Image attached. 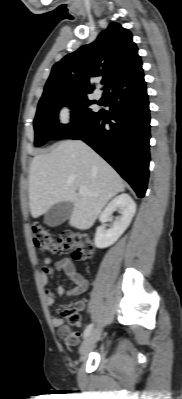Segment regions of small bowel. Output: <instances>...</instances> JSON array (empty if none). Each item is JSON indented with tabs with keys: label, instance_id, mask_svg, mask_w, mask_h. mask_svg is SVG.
<instances>
[{
	"label": "small bowel",
	"instance_id": "1",
	"mask_svg": "<svg viewBox=\"0 0 182 399\" xmlns=\"http://www.w3.org/2000/svg\"><path fill=\"white\" fill-rule=\"evenodd\" d=\"M55 272H62L65 277L73 284V287L66 289L63 286H57L55 292L46 289L45 300L48 306H53L56 303L57 297L80 295L87 291L88 281L79 272H77L74 263L71 259L65 257L56 262L50 257H45L43 260V267L40 270L42 283L48 286L50 279L54 276ZM79 308H83V302H78ZM52 324L59 328L60 337L70 346L78 343L81 333L72 332L68 327L64 326V319L61 317L53 316Z\"/></svg>",
	"mask_w": 182,
	"mask_h": 399
}]
</instances>
